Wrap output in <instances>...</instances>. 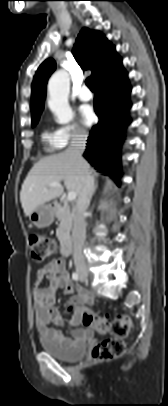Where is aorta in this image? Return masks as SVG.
Returning <instances> with one entry per match:
<instances>
[{
  "label": "aorta",
  "instance_id": "1",
  "mask_svg": "<svg viewBox=\"0 0 168 406\" xmlns=\"http://www.w3.org/2000/svg\"><path fill=\"white\" fill-rule=\"evenodd\" d=\"M69 89L70 78L65 70H59L51 76L48 82V106L60 124H66L73 118L68 103Z\"/></svg>",
  "mask_w": 168,
  "mask_h": 406
}]
</instances>
